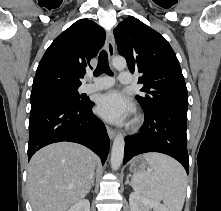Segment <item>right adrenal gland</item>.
Returning a JSON list of instances; mask_svg holds the SVG:
<instances>
[{
    "mask_svg": "<svg viewBox=\"0 0 221 211\" xmlns=\"http://www.w3.org/2000/svg\"><path fill=\"white\" fill-rule=\"evenodd\" d=\"M94 181H95V177H93V179H92L91 186L88 190V193L91 191V188L94 186Z\"/></svg>",
    "mask_w": 221,
    "mask_h": 211,
    "instance_id": "2a0ac1e0",
    "label": "right adrenal gland"
}]
</instances>
